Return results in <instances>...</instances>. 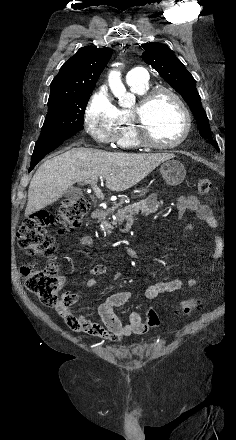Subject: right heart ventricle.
Returning a JSON list of instances; mask_svg holds the SVG:
<instances>
[{
    "label": "right heart ventricle",
    "instance_id": "e07e8e85",
    "mask_svg": "<svg viewBox=\"0 0 236 440\" xmlns=\"http://www.w3.org/2000/svg\"><path fill=\"white\" fill-rule=\"evenodd\" d=\"M128 84L130 89L138 95H143L150 88L148 81ZM116 143L121 147L128 148L139 146V142L133 130L131 111L128 109H117Z\"/></svg>",
    "mask_w": 236,
    "mask_h": 440
}]
</instances>
